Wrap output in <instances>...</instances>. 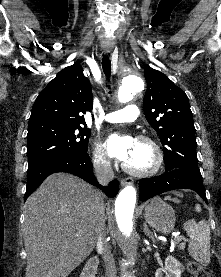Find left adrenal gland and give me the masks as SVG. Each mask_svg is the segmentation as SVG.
I'll list each match as a JSON object with an SVG mask.
<instances>
[{"label":"left adrenal gland","mask_w":221,"mask_h":277,"mask_svg":"<svg viewBox=\"0 0 221 277\" xmlns=\"http://www.w3.org/2000/svg\"><path fill=\"white\" fill-rule=\"evenodd\" d=\"M143 227H144V228H143L144 234H145V235H148L149 238H150L153 242H155L153 233L149 230V228H148V226H147L146 223L143 224Z\"/></svg>","instance_id":"left-adrenal-gland-1"}]
</instances>
